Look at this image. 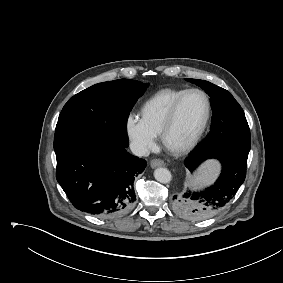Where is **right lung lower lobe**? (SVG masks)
Masks as SVG:
<instances>
[{"label": "right lung lower lobe", "instance_id": "1", "mask_svg": "<svg viewBox=\"0 0 283 283\" xmlns=\"http://www.w3.org/2000/svg\"><path fill=\"white\" fill-rule=\"evenodd\" d=\"M56 178L70 202L99 217L121 215L132 207L133 182L146 161L105 138L80 141L56 154Z\"/></svg>", "mask_w": 283, "mask_h": 283}]
</instances>
